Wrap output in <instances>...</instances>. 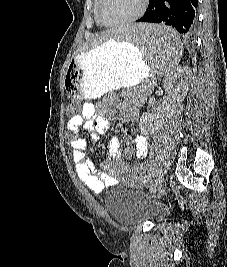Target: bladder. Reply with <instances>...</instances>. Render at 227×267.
Wrapping results in <instances>:
<instances>
[{
    "label": "bladder",
    "mask_w": 227,
    "mask_h": 267,
    "mask_svg": "<svg viewBox=\"0 0 227 267\" xmlns=\"http://www.w3.org/2000/svg\"><path fill=\"white\" fill-rule=\"evenodd\" d=\"M105 204L117 223L157 220L163 216L160 208L143 203L136 192L126 188H116L109 192Z\"/></svg>",
    "instance_id": "bladder-1"
}]
</instances>
